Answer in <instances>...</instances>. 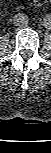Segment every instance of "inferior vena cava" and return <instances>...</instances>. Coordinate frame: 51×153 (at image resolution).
I'll use <instances>...</instances> for the list:
<instances>
[{
	"label": "inferior vena cava",
	"mask_w": 51,
	"mask_h": 153,
	"mask_svg": "<svg viewBox=\"0 0 51 153\" xmlns=\"http://www.w3.org/2000/svg\"><path fill=\"white\" fill-rule=\"evenodd\" d=\"M13 23L16 26H26L29 23V18L26 14L18 13L14 16Z\"/></svg>",
	"instance_id": "inferior-vena-cava-1"
}]
</instances>
